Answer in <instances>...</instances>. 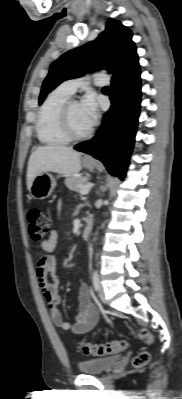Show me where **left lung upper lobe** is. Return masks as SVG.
<instances>
[{"mask_svg": "<svg viewBox=\"0 0 182 399\" xmlns=\"http://www.w3.org/2000/svg\"><path fill=\"white\" fill-rule=\"evenodd\" d=\"M131 38L132 32L120 21H108L105 31L96 40L64 53L52 63L42 84L39 104L61 82L80 77L88 71L114 66L117 72L112 80L129 72L139 64Z\"/></svg>", "mask_w": 182, "mask_h": 399, "instance_id": "left-lung-upper-lobe-1", "label": "left lung upper lobe"}]
</instances>
